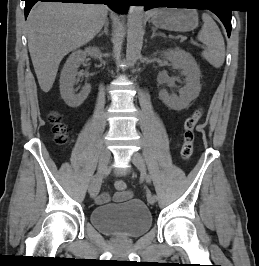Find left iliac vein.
Instances as JSON below:
<instances>
[{
  "label": "left iliac vein",
  "mask_w": 259,
  "mask_h": 266,
  "mask_svg": "<svg viewBox=\"0 0 259 266\" xmlns=\"http://www.w3.org/2000/svg\"><path fill=\"white\" fill-rule=\"evenodd\" d=\"M131 161L137 167V169L141 172V174L143 176H145L146 175V166H145V162H144L142 155L138 152H134L131 155ZM147 200L150 204H154L156 202V200H154V198H152V195L147 196Z\"/></svg>",
  "instance_id": "left-iliac-vein-1"
}]
</instances>
